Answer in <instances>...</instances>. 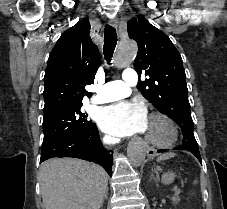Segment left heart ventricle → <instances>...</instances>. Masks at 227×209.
I'll list each match as a JSON object with an SVG mask.
<instances>
[{
    "label": "left heart ventricle",
    "mask_w": 227,
    "mask_h": 209,
    "mask_svg": "<svg viewBox=\"0 0 227 209\" xmlns=\"http://www.w3.org/2000/svg\"><path fill=\"white\" fill-rule=\"evenodd\" d=\"M142 134L144 138L162 141L169 137L170 132L166 124L162 121L149 119Z\"/></svg>",
    "instance_id": "b2bd125f"
}]
</instances>
